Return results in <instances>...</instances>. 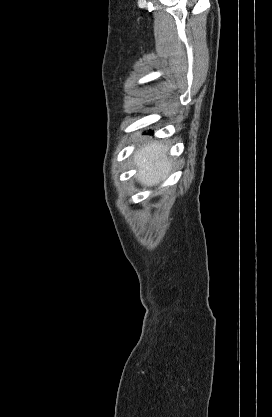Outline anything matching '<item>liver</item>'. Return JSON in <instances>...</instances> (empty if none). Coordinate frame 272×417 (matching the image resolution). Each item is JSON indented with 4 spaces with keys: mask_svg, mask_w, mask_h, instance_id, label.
I'll list each match as a JSON object with an SVG mask.
<instances>
[{
    "mask_svg": "<svg viewBox=\"0 0 272 417\" xmlns=\"http://www.w3.org/2000/svg\"><path fill=\"white\" fill-rule=\"evenodd\" d=\"M166 152L167 147L159 142H151L142 145L134 153L133 163L139 168L136 178L142 185H157L168 177L172 162Z\"/></svg>",
    "mask_w": 272,
    "mask_h": 417,
    "instance_id": "1",
    "label": "liver"
}]
</instances>
